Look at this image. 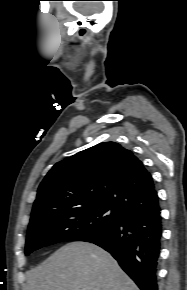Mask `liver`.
<instances>
[{"instance_id":"liver-1","label":"liver","mask_w":187,"mask_h":290,"mask_svg":"<svg viewBox=\"0 0 187 290\" xmlns=\"http://www.w3.org/2000/svg\"><path fill=\"white\" fill-rule=\"evenodd\" d=\"M26 290H139L117 261L92 243L71 242L27 274Z\"/></svg>"}]
</instances>
